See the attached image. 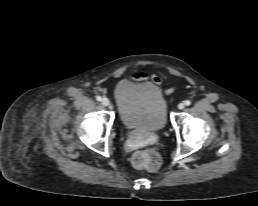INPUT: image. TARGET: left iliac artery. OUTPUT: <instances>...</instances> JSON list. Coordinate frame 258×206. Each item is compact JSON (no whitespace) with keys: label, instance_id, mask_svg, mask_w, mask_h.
I'll list each match as a JSON object with an SVG mask.
<instances>
[{"label":"left iliac artery","instance_id":"1","mask_svg":"<svg viewBox=\"0 0 258 206\" xmlns=\"http://www.w3.org/2000/svg\"><path fill=\"white\" fill-rule=\"evenodd\" d=\"M185 104H186L187 106H189V105L191 104V102H190L189 100H186V101H185Z\"/></svg>","mask_w":258,"mask_h":206}]
</instances>
